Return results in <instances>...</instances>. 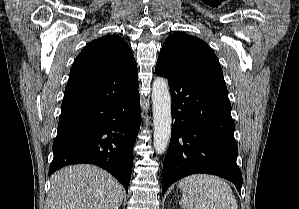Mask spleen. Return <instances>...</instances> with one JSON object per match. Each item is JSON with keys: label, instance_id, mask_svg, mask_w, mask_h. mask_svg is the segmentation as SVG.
I'll return each instance as SVG.
<instances>
[{"label": "spleen", "instance_id": "obj_1", "mask_svg": "<svg viewBox=\"0 0 299 209\" xmlns=\"http://www.w3.org/2000/svg\"><path fill=\"white\" fill-rule=\"evenodd\" d=\"M183 209H238L231 187L208 174L187 176L179 183Z\"/></svg>", "mask_w": 299, "mask_h": 209}]
</instances>
